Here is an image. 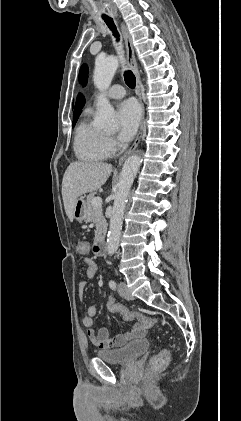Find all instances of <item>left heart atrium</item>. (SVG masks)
Returning <instances> with one entry per match:
<instances>
[{
    "mask_svg": "<svg viewBox=\"0 0 241 421\" xmlns=\"http://www.w3.org/2000/svg\"><path fill=\"white\" fill-rule=\"evenodd\" d=\"M140 116V108L135 101L125 100L118 105V136L122 142H128L133 138L140 122Z\"/></svg>",
    "mask_w": 241,
    "mask_h": 421,
    "instance_id": "39dd6f15",
    "label": "left heart atrium"
}]
</instances>
